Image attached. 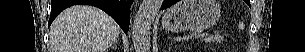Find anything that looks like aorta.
Instances as JSON below:
<instances>
[{"mask_svg": "<svg viewBox=\"0 0 305 52\" xmlns=\"http://www.w3.org/2000/svg\"><path fill=\"white\" fill-rule=\"evenodd\" d=\"M162 0H143L132 25V41L136 52H149L151 25Z\"/></svg>", "mask_w": 305, "mask_h": 52, "instance_id": "762f6f07", "label": "aorta"}]
</instances>
